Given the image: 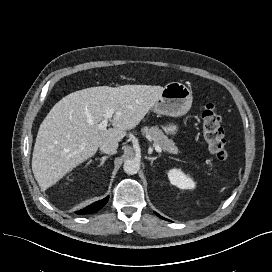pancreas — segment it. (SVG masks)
<instances>
[{
	"instance_id": "pancreas-1",
	"label": "pancreas",
	"mask_w": 272,
	"mask_h": 272,
	"mask_svg": "<svg viewBox=\"0 0 272 272\" xmlns=\"http://www.w3.org/2000/svg\"><path fill=\"white\" fill-rule=\"evenodd\" d=\"M143 135L149 136L154 145H158L162 150L169 152L170 154H178L179 149L176 147L173 140L169 139L158 126L143 127L141 130Z\"/></svg>"
}]
</instances>
